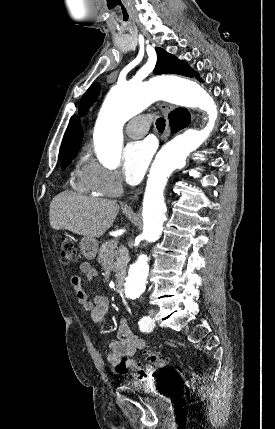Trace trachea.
Here are the masks:
<instances>
[{
    "instance_id": "1",
    "label": "trachea",
    "mask_w": 275,
    "mask_h": 429,
    "mask_svg": "<svg viewBox=\"0 0 275 429\" xmlns=\"http://www.w3.org/2000/svg\"><path fill=\"white\" fill-rule=\"evenodd\" d=\"M156 127H157V130H158L160 133H163V131H164V129H165V119H163V118H158V119L156 120Z\"/></svg>"
}]
</instances>
